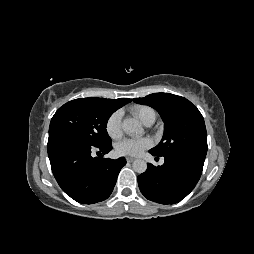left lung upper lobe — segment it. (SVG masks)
Instances as JSON below:
<instances>
[{
    "label": "left lung upper lobe",
    "mask_w": 254,
    "mask_h": 254,
    "mask_svg": "<svg viewBox=\"0 0 254 254\" xmlns=\"http://www.w3.org/2000/svg\"><path fill=\"white\" fill-rule=\"evenodd\" d=\"M153 107L164 122L161 142L151 149L158 156L181 151L207 153V132L200 111L186 98L170 93H154L134 98Z\"/></svg>",
    "instance_id": "5c2ea615"
}]
</instances>
